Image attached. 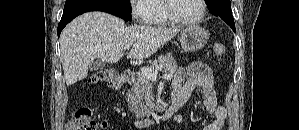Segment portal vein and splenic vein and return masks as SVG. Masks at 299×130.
<instances>
[{
	"mask_svg": "<svg viewBox=\"0 0 299 130\" xmlns=\"http://www.w3.org/2000/svg\"><path fill=\"white\" fill-rule=\"evenodd\" d=\"M131 48L130 45H126L124 46V50H129ZM141 72L145 75L146 78L152 80V81H156L157 78V72H155L154 70L148 68V67H142L141 68ZM173 77L172 74H164L163 78L165 80H171Z\"/></svg>",
	"mask_w": 299,
	"mask_h": 130,
	"instance_id": "obj_1",
	"label": "portal vein and splenic vein"
}]
</instances>
